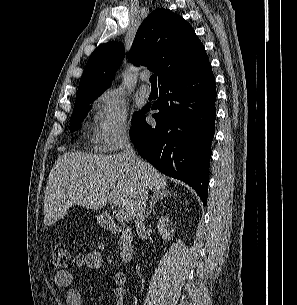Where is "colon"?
Listing matches in <instances>:
<instances>
[{
  "label": "colon",
  "mask_w": 297,
  "mask_h": 305,
  "mask_svg": "<svg viewBox=\"0 0 297 305\" xmlns=\"http://www.w3.org/2000/svg\"><path fill=\"white\" fill-rule=\"evenodd\" d=\"M76 259V256L69 251L67 244L63 240H57L53 244L52 265L55 269L65 270L71 268Z\"/></svg>",
  "instance_id": "colon-1"
}]
</instances>
